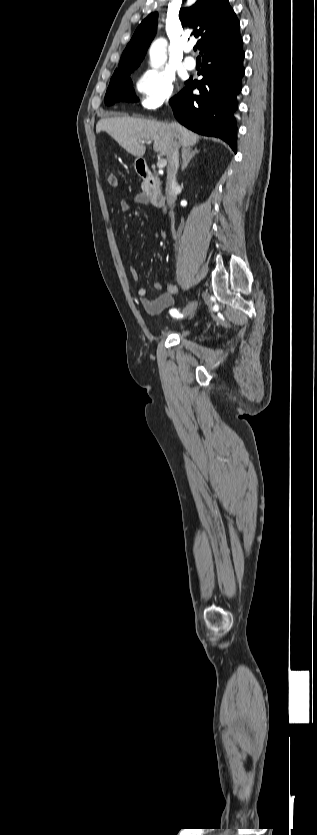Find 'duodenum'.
I'll use <instances>...</instances> for the list:
<instances>
[{"instance_id": "duodenum-1", "label": "duodenum", "mask_w": 317, "mask_h": 835, "mask_svg": "<svg viewBox=\"0 0 317 835\" xmlns=\"http://www.w3.org/2000/svg\"><path fill=\"white\" fill-rule=\"evenodd\" d=\"M137 173L141 178L146 180L150 187L149 199L155 207H162L165 203V196L160 187V180L153 174L149 166L143 161L138 160L136 164Z\"/></svg>"}]
</instances>
